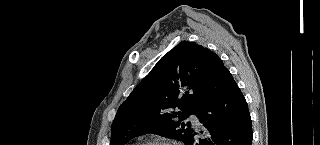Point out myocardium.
<instances>
[{
	"label": "myocardium",
	"mask_w": 320,
	"mask_h": 145,
	"mask_svg": "<svg viewBox=\"0 0 320 145\" xmlns=\"http://www.w3.org/2000/svg\"><path fill=\"white\" fill-rule=\"evenodd\" d=\"M140 145H172V144L166 141L153 140V141H146Z\"/></svg>",
	"instance_id": "obj_1"
}]
</instances>
